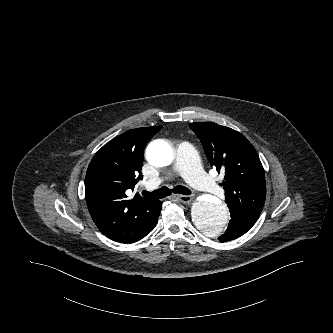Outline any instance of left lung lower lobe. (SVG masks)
Returning <instances> with one entry per match:
<instances>
[{
  "instance_id": "0a47b994",
  "label": "left lung lower lobe",
  "mask_w": 333,
  "mask_h": 333,
  "mask_svg": "<svg viewBox=\"0 0 333 333\" xmlns=\"http://www.w3.org/2000/svg\"><path fill=\"white\" fill-rule=\"evenodd\" d=\"M230 221L226 232L218 239L220 242L236 239L245 234L257 221L258 217L230 208Z\"/></svg>"
}]
</instances>
